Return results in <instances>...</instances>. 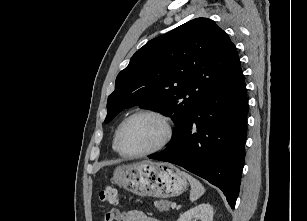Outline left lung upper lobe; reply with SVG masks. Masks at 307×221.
Masks as SVG:
<instances>
[{
  "label": "left lung upper lobe",
  "mask_w": 307,
  "mask_h": 221,
  "mask_svg": "<svg viewBox=\"0 0 307 221\" xmlns=\"http://www.w3.org/2000/svg\"><path fill=\"white\" fill-rule=\"evenodd\" d=\"M238 61L234 44L214 21L191 20L152 39L132 56L116 78L104 122L139 105L171 117L179 131Z\"/></svg>",
  "instance_id": "left-lung-upper-lobe-1"
}]
</instances>
